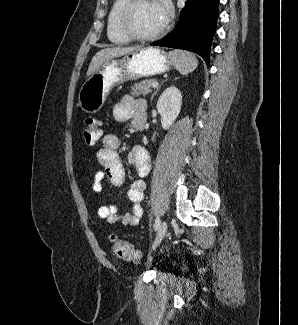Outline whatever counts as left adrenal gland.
<instances>
[{
	"label": "left adrenal gland",
	"instance_id": "left-adrenal-gland-1",
	"mask_svg": "<svg viewBox=\"0 0 298 325\" xmlns=\"http://www.w3.org/2000/svg\"><path fill=\"white\" fill-rule=\"evenodd\" d=\"M163 82H165V80H163ZM163 82H161V84H159V86H157L156 90H154V92H153V94H152V96H151V100H153L155 94H157L158 90H160V88H161Z\"/></svg>",
	"mask_w": 298,
	"mask_h": 325
}]
</instances>
